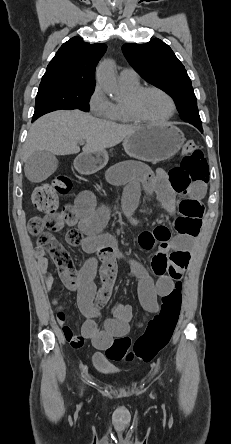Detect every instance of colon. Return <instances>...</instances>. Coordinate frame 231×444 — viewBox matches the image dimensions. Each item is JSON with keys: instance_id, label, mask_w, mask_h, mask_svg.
Wrapping results in <instances>:
<instances>
[{"instance_id": "5ec220e1", "label": "colon", "mask_w": 231, "mask_h": 444, "mask_svg": "<svg viewBox=\"0 0 231 444\" xmlns=\"http://www.w3.org/2000/svg\"><path fill=\"white\" fill-rule=\"evenodd\" d=\"M169 178L180 187L208 181V164L196 143L189 141L185 144L180 164L169 172ZM70 188V181L64 177L36 186L32 191L31 201L43 215L32 217L28 222V230L32 235L38 236L39 250L49 255L66 285L74 288L76 272L70 254L50 234L71 224L70 210L66 208L58 211V196L67 193ZM202 214L203 207L198 202L183 200L180 203V216L175 221L177 233L196 236ZM154 231L158 235H170L169 230L163 226ZM181 289V283L176 282L172 292L162 298L160 312L148 320L145 332L134 342L128 336L115 338L106 350V357L112 361L126 362L134 358L144 362L153 360L168 345L176 328L181 307Z\"/></svg>"}]
</instances>
